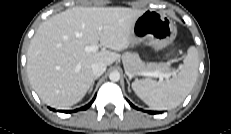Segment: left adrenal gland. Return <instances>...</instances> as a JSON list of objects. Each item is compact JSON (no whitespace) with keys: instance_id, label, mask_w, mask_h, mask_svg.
Wrapping results in <instances>:
<instances>
[{"instance_id":"left-adrenal-gland-1","label":"left adrenal gland","mask_w":231,"mask_h":134,"mask_svg":"<svg viewBox=\"0 0 231 134\" xmlns=\"http://www.w3.org/2000/svg\"><path fill=\"white\" fill-rule=\"evenodd\" d=\"M127 84H128V91L130 92V82L129 79L126 78Z\"/></svg>"}]
</instances>
